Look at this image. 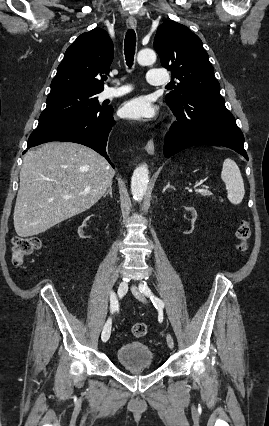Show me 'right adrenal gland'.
Returning <instances> with one entry per match:
<instances>
[{
  "label": "right adrenal gland",
  "instance_id": "obj_1",
  "mask_svg": "<svg viewBox=\"0 0 269 426\" xmlns=\"http://www.w3.org/2000/svg\"><path fill=\"white\" fill-rule=\"evenodd\" d=\"M107 195H110V197H112V184L109 186L108 191L103 195V197H106Z\"/></svg>",
  "mask_w": 269,
  "mask_h": 426
}]
</instances>
